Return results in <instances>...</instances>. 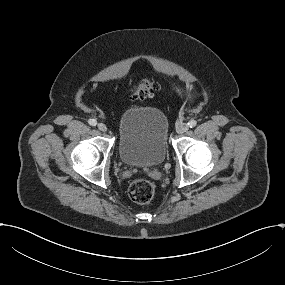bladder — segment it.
Wrapping results in <instances>:
<instances>
[{
  "instance_id": "obj_1",
  "label": "bladder",
  "mask_w": 285,
  "mask_h": 285,
  "mask_svg": "<svg viewBox=\"0 0 285 285\" xmlns=\"http://www.w3.org/2000/svg\"><path fill=\"white\" fill-rule=\"evenodd\" d=\"M118 157L133 167L161 165L167 154L168 121L156 108H130L118 120Z\"/></svg>"
}]
</instances>
